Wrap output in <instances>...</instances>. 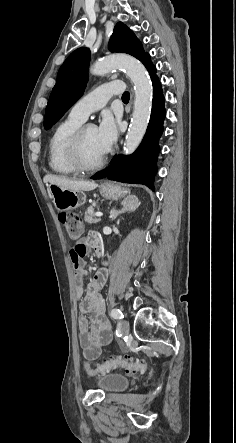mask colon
<instances>
[{"label":"colon","instance_id":"obj_1","mask_svg":"<svg viewBox=\"0 0 236 443\" xmlns=\"http://www.w3.org/2000/svg\"><path fill=\"white\" fill-rule=\"evenodd\" d=\"M59 221L64 226L67 234L70 238H78L83 231V224L81 217L76 213L62 212L59 214ZM85 255V248L83 246H77L72 248L71 257L73 266L75 269L79 268L80 260ZM90 357L86 356L84 368L88 375H101L111 370L121 368L128 372H145L147 365L139 361H127L122 358H112L104 363L100 364L95 370L91 368L89 363Z\"/></svg>","mask_w":236,"mask_h":443}]
</instances>
